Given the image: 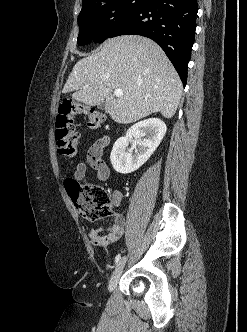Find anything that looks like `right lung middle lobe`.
<instances>
[{
	"label": "right lung middle lobe",
	"mask_w": 247,
	"mask_h": 332,
	"mask_svg": "<svg viewBox=\"0 0 247 332\" xmlns=\"http://www.w3.org/2000/svg\"><path fill=\"white\" fill-rule=\"evenodd\" d=\"M147 0H101L85 9L78 16V46L105 41L114 27L139 9Z\"/></svg>",
	"instance_id": "right-lung-middle-lobe-1"
}]
</instances>
